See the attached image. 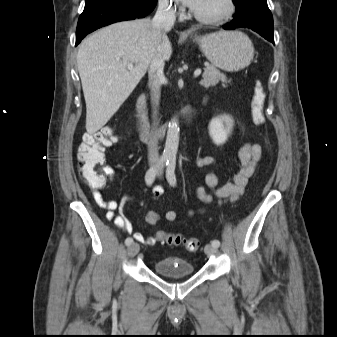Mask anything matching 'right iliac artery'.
Masks as SVG:
<instances>
[{"mask_svg": "<svg viewBox=\"0 0 337 337\" xmlns=\"http://www.w3.org/2000/svg\"><path fill=\"white\" fill-rule=\"evenodd\" d=\"M167 160H168V157H167V156H165V155L162 156V157L160 158V160L158 161V163H157L155 166L151 167V168L146 172V175H145V181H146V184H147V185H151V184L154 182L155 176H156L158 170L160 169L161 166H163L164 163L167 162ZM132 243H133V239H132L131 237L126 238L125 244H126L127 246H129V245L132 244Z\"/></svg>", "mask_w": 337, "mask_h": 337, "instance_id": "right-iliac-artery-1", "label": "right iliac artery"}]
</instances>
